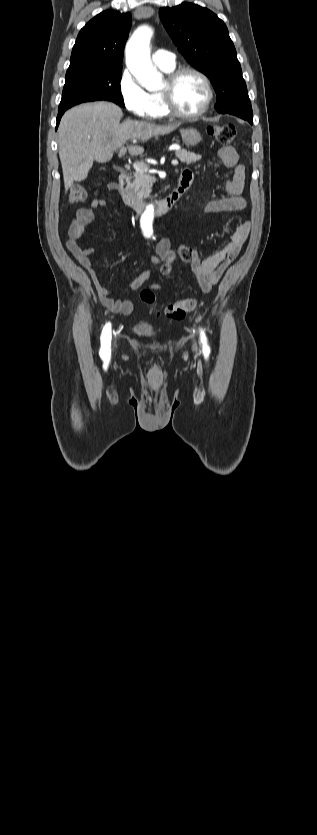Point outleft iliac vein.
Segmentation results:
<instances>
[{
    "label": "left iliac vein",
    "instance_id": "obj_1",
    "mask_svg": "<svg viewBox=\"0 0 317 835\" xmlns=\"http://www.w3.org/2000/svg\"><path fill=\"white\" fill-rule=\"evenodd\" d=\"M192 348H193L194 352H197V344L196 343L193 344Z\"/></svg>",
    "mask_w": 317,
    "mask_h": 835
}]
</instances>
